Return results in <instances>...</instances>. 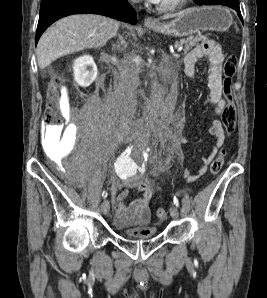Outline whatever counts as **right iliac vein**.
Wrapping results in <instances>:
<instances>
[{"instance_id": "63e3f726", "label": "right iliac vein", "mask_w": 267, "mask_h": 298, "mask_svg": "<svg viewBox=\"0 0 267 298\" xmlns=\"http://www.w3.org/2000/svg\"><path fill=\"white\" fill-rule=\"evenodd\" d=\"M110 210V204L108 200H104L101 204V212L107 214Z\"/></svg>"}]
</instances>
